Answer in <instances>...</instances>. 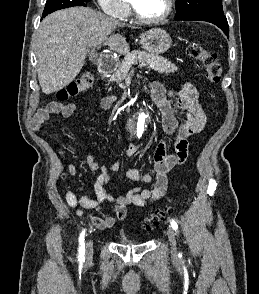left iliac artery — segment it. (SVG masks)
<instances>
[{"label": "left iliac artery", "instance_id": "1", "mask_svg": "<svg viewBox=\"0 0 259 294\" xmlns=\"http://www.w3.org/2000/svg\"><path fill=\"white\" fill-rule=\"evenodd\" d=\"M171 227L175 230L178 231V224L176 223L175 220L170 221Z\"/></svg>", "mask_w": 259, "mask_h": 294}]
</instances>
